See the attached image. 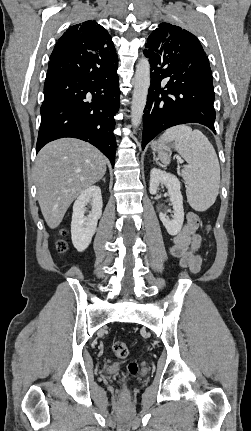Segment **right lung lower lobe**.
Masks as SVG:
<instances>
[{
    "label": "right lung lower lobe",
    "mask_w": 251,
    "mask_h": 431,
    "mask_svg": "<svg viewBox=\"0 0 251 431\" xmlns=\"http://www.w3.org/2000/svg\"><path fill=\"white\" fill-rule=\"evenodd\" d=\"M118 58L67 54L54 48L44 85L36 153L48 142L74 137L91 143L114 166V115L119 110Z\"/></svg>",
    "instance_id": "obj_1"
}]
</instances>
